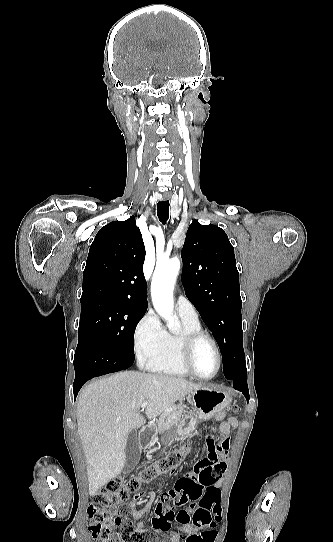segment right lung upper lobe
<instances>
[{
    "label": "right lung upper lobe",
    "mask_w": 333,
    "mask_h": 542,
    "mask_svg": "<svg viewBox=\"0 0 333 542\" xmlns=\"http://www.w3.org/2000/svg\"><path fill=\"white\" fill-rule=\"evenodd\" d=\"M145 246L135 217L105 225L91 244L81 305L123 304L147 310Z\"/></svg>",
    "instance_id": "obj_1"
}]
</instances>
